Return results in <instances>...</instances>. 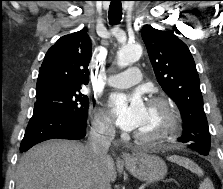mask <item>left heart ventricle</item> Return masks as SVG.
Listing matches in <instances>:
<instances>
[{
	"label": "left heart ventricle",
	"instance_id": "left-heart-ventricle-1",
	"mask_svg": "<svg viewBox=\"0 0 223 189\" xmlns=\"http://www.w3.org/2000/svg\"><path fill=\"white\" fill-rule=\"evenodd\" d=\"M164 120L165 114L162 109L147 105L145 118L137 131L153 132L162 126Z\"/></svg>",
	"mask_w": 223,
	"mask_h": 189
}]
</instances>
